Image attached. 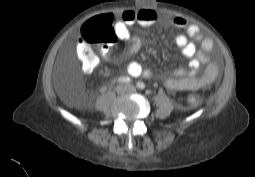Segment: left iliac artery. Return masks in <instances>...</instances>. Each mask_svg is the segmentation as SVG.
I'll return each mask as SVG.
<instances>
[{"label": "left iliac artery", "mask_w": 255, "mask_h": 177, "mask_svg": "<svg viewBox=\"0 0 255 177\" xmlns=\"http://www.w3.org/2000/svg\"><path fill=\"white\" fill-rule=\"evenodd\" d=\"M136 86H137V88H139L141 90L145 88V85L143 82H137Z\"/></svg>", "instance_id": "obj_1"}]
</instances>
